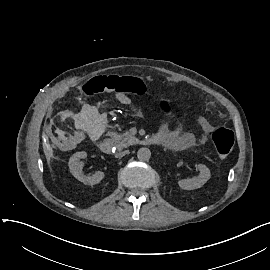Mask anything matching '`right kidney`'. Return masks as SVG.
Wrapping results in <instances>:
<instances>
[{
    "instance_id": "ca27d5eb",
    "label": "right kidney",
    "mask_w": 270,
    "mask_h": 270,
    "mask_svg": "<svg viewBox=\"0 0 270 270\" xmlns=\"http://www.w3.org/2000/svg\"><path fill=\"white\" fill-rule=\"evenodd\" d=\"M87 157L86 152H77L70 157L69 160V168L73 176L80 182L88 186H94L99 184L103 178L105 177V173L103 171H97L91 177L87 175H83L82 167L83 163L81 159H85Z\"/></svg>"
}]
</instances>
